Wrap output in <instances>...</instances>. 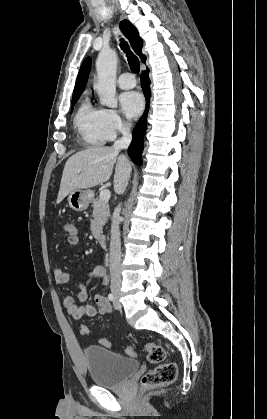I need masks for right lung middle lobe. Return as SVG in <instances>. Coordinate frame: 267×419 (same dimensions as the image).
Segmentation results:
<instances>
[{"instance_id":"right-lung-middle-lobe-1","label":"right lung middle lobe","mask_w":267,"mask_h":419,"mask_svg":"<svg viewBox=\"0 0 267 419\" xmlns=\"http://www.w3.org/2000/svg\"><path fill=\"white\" fill-rule=\"evenodd\" d=\"M79 97H80V95H78V96H74V97L72 98V105H75V103L77 102V100L79 99ZM72 110H73V106H72Z\"/></svg>"}]
</instances>
